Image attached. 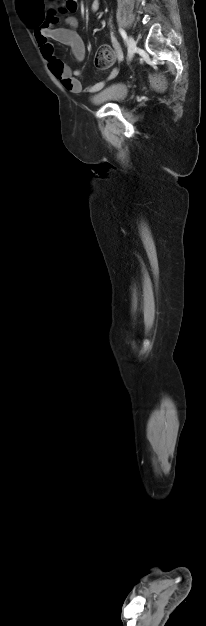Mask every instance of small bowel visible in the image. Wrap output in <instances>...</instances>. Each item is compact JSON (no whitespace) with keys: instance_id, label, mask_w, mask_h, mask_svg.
Returning <instances> with one entry per match:
<instances>
[{"instance_id":"small-bowel-1","label":"small bowel","mask_w":206,"mask_h":626,"mask_svg":"<svg viewBox=\"0 0 206 626\" xmlns=\"http://www.w3.org/2000/svg\"><path fill=\"white\" fill-rule=\"evenodd\" d=\"M99 8V1L94 0L91 6L93 12ZM78 9V0H66L64 5L59 9L62 13H74ZM58 21L57 10L53 7L44 13L41 6H37L35 11L25 20L26 24L33 28L35 40L39 46L42 56L48 63L52 74L62 83L64 88L71 93L80 94L83 92L95 93L103 88L106 80L96 82L86 89H83L78 76L81 74L79 70H72L67 64L55 55L54 46L51 40L70 47L74 58L82 62L85 58V44L83 39L76 31L77 20L73 16L65 18V27L56 25ZM112 48L115 51L116 58H123L118 42L112 39ZM117 74L114 70L108 79L113 78Z\"/></svg>"}]
</instances>
